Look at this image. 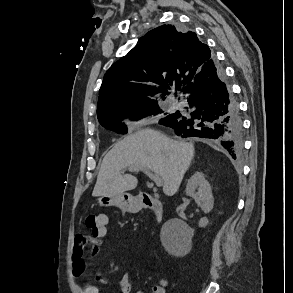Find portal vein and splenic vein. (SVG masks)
Segmentation results:
<instances>
[{"label":"portal vein and splenic vein","mask_w":293,"mask_h":293,"mask_svg":"<svg viewBox=\"0 0 293 293\" xmlns=\"http://www.w3.org/2000/svg\"><path fill=\"white\" fill-rule=\"evenodd\" d=\"M139 170L143 171L150 179H152L155 182L156 186L158 187L162 186L163 180L158 174H154L146 168L130 167V171H139Z\"/></svg>","instance_id":"portal-vein-and-splenic-vein-1"}]
</instances>
